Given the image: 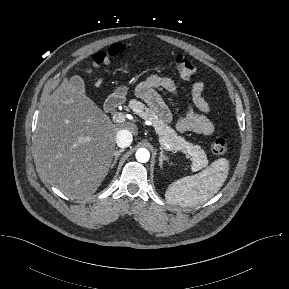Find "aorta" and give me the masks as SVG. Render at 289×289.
Masks as SVG:
<instances>
[{"label": "aorta", "instance_id": "aorta-1", "mask_svg": "<svg viewBox=\"0 0 289 289\" xmlns=\"http://www.w3.org/2000/svg\"><path fill=\"white\" fill-rule=\"evenodd\" d=\"M150 158V153L145 148H140L136 152V159L141 163H146Z\"/></svg>", "mask_w": 289, "mask_h": 289}]
</instances>
